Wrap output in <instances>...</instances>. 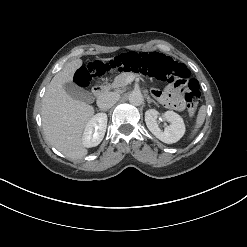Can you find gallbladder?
<instances>
[{
  "instance_id": "obj_1",
  "label": "gallbladder",
  "mask_w": 247,
  "mask_h": 247,
  "mask_svg": "<svg viewBox=\"0 0 247 247\" xmlns=\"http://www.w3.org/2000/svg\"><path fill=\"white\" fill-rule=\"evenodd\" d=\"M64 89L67 92V94L75 100H79L86 103H90L93 101V96L89 91L84 90L73 83L65 84Z\"/></svg>"
}]
</instances>
